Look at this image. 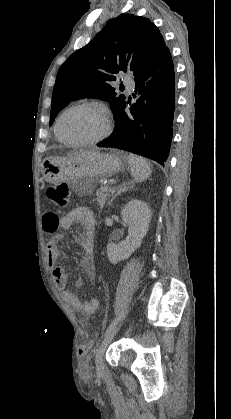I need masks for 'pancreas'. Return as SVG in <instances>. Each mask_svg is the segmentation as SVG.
<instances>
[{
    "label": "pancreas",
    "mask_w": 231,
    "mask_h": 419,
    "mask_svg": "<svg viewBox=\"0 0 231 419\" xmlns=\"http://www.w3.org/2000/svg\"><path fill=\"white\" fill-rule=\"evenodd\" d=\"M102 187L100 188V191H97V199H96L101 208H103L105 201L107 199V196H108L107 190H102Z\"/></svg>",
    "instance_id": "1"
}]
</instances>
